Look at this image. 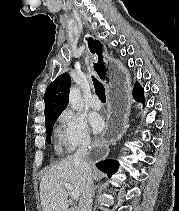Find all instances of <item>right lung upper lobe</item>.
Returning <instances> with one entry per match:
<instances>
[{
  "label": "right lung upper lobe",
  "mask_w": 179,
  "mask_h": 211,
  "mask_svg": "<svg viewBox=\"0 0 179 211\" xmlns=\"http://www.w3.org/2000/svg\"><path fill=\"white\" fill-rule=\"evenodd\" d=\"M99 61L94 64V69L101 79H107V64L102 61L100 52L96 53ZM71 85V79L68 73H63L49 84L44 94L45 118L46 121L52 117L59 116L68 104V94Z\"/></svg>",
  "instance_id": "1"
}]
</instances>
